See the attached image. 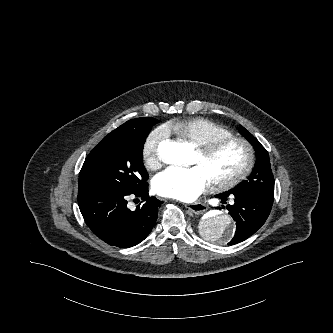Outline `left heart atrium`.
Segmentation results:
<instances>
[{"label":"left heart atrium","mask_w":333,"mask_h":333,"mask_svg":"<svg viewBox=\"0 0 333 333\" xmlns=\"http://www.w3.org/2000/svg\"><path fill=\"white\" fill-rule=\"evenodd\" d=\"M211 183L209 176L199 165L192 167H169L156 176L155 191L162 196L181 201L198 197Z\"/></svg>","instance_id":"left-heart-atrium-1"}]
</instances>
